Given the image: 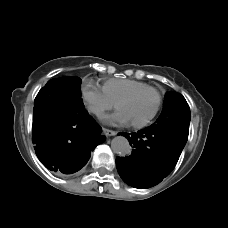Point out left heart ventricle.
<instances>
[{
	"instance_id": "obj_1",
	"label": "left heart ventricle",
	"mask_w": 228,
	"mask_h": 228,
	"mask_svg": "<svg viewBox=\"0 0 228 228\" xmlns=\"http://www.w3.org/2000/svg\"><path fill=\"white\" fill-rule=\"evenodd\" d=\"M156 103V94L147 92L124 104L121 110L129 121L140 122L153 112Z\"/></svg>"
}]
</instances>
